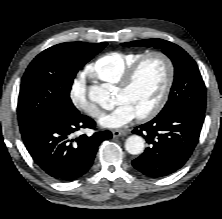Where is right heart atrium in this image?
<instances>
[{
    "mask_svg": "<svg viewBox=\"0 0 222 219\" xmlns=\"http://www.w3.org/2000/svg\"><path fill=\"white\" fill-rule=\"evenodd\" d=\"M69 97L78 110L93 118L100 117L101 111L87 97L86 82L83 76L78 75L72 80Z\"/></svg>",
    "mask_w": 222,
    "mask_h": 219,
    "instance_id": "right-heart-atrium-1",
    "label": "right heart atrium"
}]
</instances>
